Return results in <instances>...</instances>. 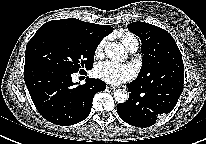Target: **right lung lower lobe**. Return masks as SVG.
Wrapping results in <instances>:
<instances>
[{
  "label": "right lung lower lobe",
  "mask_w": 206,
  "mask_h": 144,
  "mask_svg": "<svg viewBox=\"0 0 206 144\" xmlns=\"http://www.w3.org/2000/svg\"><path fill=\"white\" fill-rule=\"evenodd\" d=\"M72 74L50 67L24 69L25 84L36 109L56 125L83 121L91 111L94 95L106 89L105 82L91 78L75 87Z\"/></svg>",
  "instance_id": "1"
}]
</instances>
